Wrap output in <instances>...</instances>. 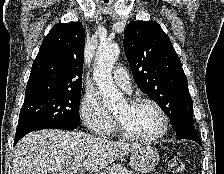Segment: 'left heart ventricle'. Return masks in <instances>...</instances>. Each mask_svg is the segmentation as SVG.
Here are the masks:
<instances>
[{
  "instance_id": "obj_1",
  "label": "left heart ventricle",
  "mask_w": 224,
  "mask_h": 174,
  "mask_svg": "<svg viewBox=\"0 0 224 174\" xmlns=\"http://www.w3.org/2000/svg\"><path fill=\"white\" fill-rule=\"evenodd\" d=\"M114 114L130 132L139 136H153L162 128L160 114L147 103L130 106L125 101Z\"/></svg>"
}]
</instances>
